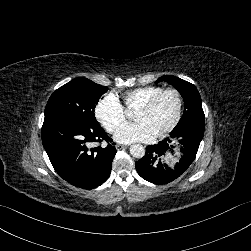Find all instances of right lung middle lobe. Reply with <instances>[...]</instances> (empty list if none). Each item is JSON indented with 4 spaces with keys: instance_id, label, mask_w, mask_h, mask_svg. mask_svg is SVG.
Wrapping results in <instances>:
<instances>
[{
    "instance_id": "1",
    "label": "right lung middle lobe",
    "mask_w": 251,
    "mask_h": 251,
    "mask_svg": "<svg viewBox=\"0 0 251 251\" xmlns=\"http://www.w3.org/2000/svg\"><path fill=\"white\" fill-rule=\"evenodd\" d=\"M108 88L78 77L57 89L49 98L46 116H65L84 123L96 121L94 108Z\"/></svg>"
}]
</instances>
